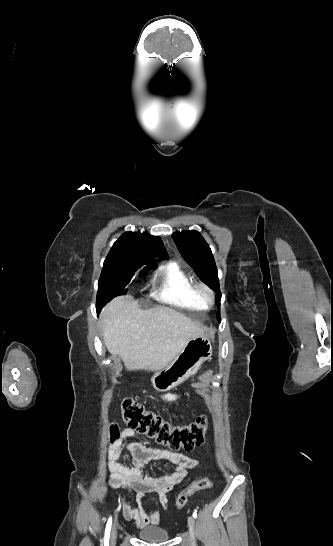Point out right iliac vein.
Returning <instances> with one entry per match:
<instances>
[{
  "mask_svg": "<svg viewBox=\"0 0 333 546\" xmlns=\"http://www.w3.org/2000/svg\"><path fill=\"white\" fill-rule=\"evenodd\" d=\"M116 538H117V530H116V527L114 526L112 528V532H111V543L114 544V542L116 541Z\"/></svg>",
  "mask_w": 333,
  "mask_h": 546,
  "instance_id": "obj_1",
  "label": "right iliac vein"
}]
</instances>
